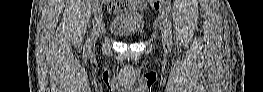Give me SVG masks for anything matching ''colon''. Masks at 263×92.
I'll return each instance as SVG.
<instances>
[{"instance_id":"colon-1","label":"colon","mask_w":263,"mask_h":92,"mask_svg":"<svg viewBox=\"0 0 263 92\" xmlns=\"http://www.w3.org/2000/svg\"><path fill=\"white\" fill-rule=\"evenodd\" d=\"M150 2H153V3H154V8H155V9H159L162 3H166V2H169V1L155 0V1H150ZM121 3H122V2H121ZM110 10H111V11H114L115 9H114V8H111Z\"/></svg>"}]
</instances>
